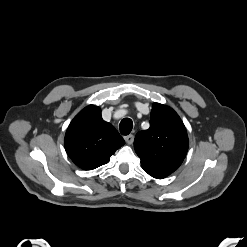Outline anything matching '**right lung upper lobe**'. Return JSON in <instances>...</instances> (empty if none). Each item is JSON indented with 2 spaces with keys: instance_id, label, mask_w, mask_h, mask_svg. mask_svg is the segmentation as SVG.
Listing matches in <instances>:
<instances>
[{
  "instance_id": "obj_1",
  "label": "right lung upper lobe",
  "mask_w": 247,
  "mask_h": 247,
  "mask_svg": "<svg viewBox=\"0 0 247 247\" xmlns=\"http://www.w3.org/2000/svg\"><path fill=\"white\" fill-rule=\"evenodd\" d=\"M71 160L84 170H92L109 161L124 145L117 130L101 116L98 106L89 105L71 121L64 139Z\"/></svg>"
}]
</instances>
